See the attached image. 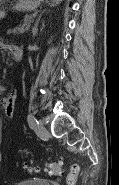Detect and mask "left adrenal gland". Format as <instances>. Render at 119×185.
Returning a JSON list of instances; mask_svg holds the SVG:
<instances>
[{
  "instance_id": "left-adrenal-gland-1",
  "label": "left adrenal gland",
  "mask_w": 119,
  "mask_h": 185,
  "mask_svg": "<svg viewBox=\"0 0 119 185\" xmlns=\"http://www.w3.org/2000/svg\"><path fill=\"white\" fill-rule=\"evenodd\" d=\"M42 14H43V13H41V14L39 15L38 19H37L36 22H35V25H34L33 30H32L33 36H36V35H37V32H38V23H39V20H40Z\"/></svg>"
}]
</instances>
